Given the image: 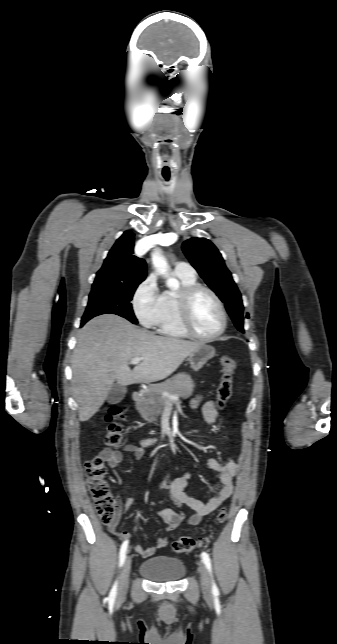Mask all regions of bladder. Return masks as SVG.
Returning <instances> with one entry per match:
<instances>
[{
	"instance_id": "bladder-1",
	"label": "bladder",
	"mask_w": 337,
	"mask_h": 644,
	"mask_svg": "<svg viewBox=\"0 0 337 644\" xmlns=\"http://www.w3.org/2000/svg\"><path fill=\"white\" fill-rule=\"evenodd\" d=\"M139 572L151 581L175 582L184 577L186 567L181 559L155 556L144 560L139 566Z\"/></svg>"
}]
</instances>
